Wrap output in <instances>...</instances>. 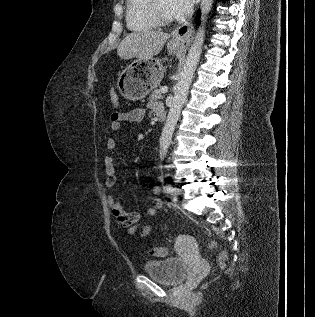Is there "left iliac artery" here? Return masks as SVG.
Returning a JSON list of instances; mask_svg holds the SVG:
<instances>
[{"mask_svg": "<svg viewBox=\"0 0 315 317\" xmlns=\"http://www.w3.org/2000/svg\"><path fill=\"white\" fill-rule=\"evenodd\" d=\"M165 190H166L167 193H171L173 191V187L171 185H167L165 187Z\"/></svg>", "mask_w": 315, "mask_h": 317, "instance_id": "44dca946", "label": "left iliac artery"}]
</instances>
